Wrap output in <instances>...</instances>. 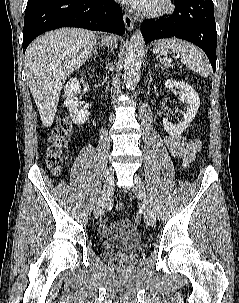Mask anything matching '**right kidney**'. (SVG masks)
<instances>
[{
  "label": "right kidney",
  "instance_id": "ca27d5eb",
  "mask_svg": "<svg viewBox=\"0 0 239 303\" xmlns=\"http://www.w3.org/2000/svg\"><path fill=\"white\" fill-rule=\"evenodd\" d=\"M80 83L76 78H71L65 85L64 104L68 109L72 121L77 125H82L88 119L90 113L86 109H78L80 100L76 97L80 91Z\"/></svg>",
  "mask_w": 239,
  "mask_h": 303
}]
</instances>
